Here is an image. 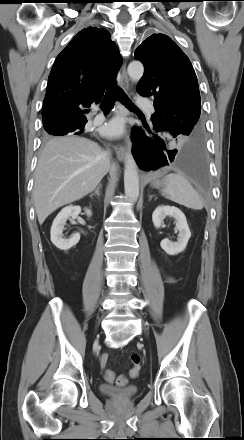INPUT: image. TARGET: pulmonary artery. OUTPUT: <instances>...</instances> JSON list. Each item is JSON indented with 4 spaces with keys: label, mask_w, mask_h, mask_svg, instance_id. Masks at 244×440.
Here are the masks:
<instances>
[{
    "label": "pulmonary artery",
    "mask_w": 244,
    "mask_h": 440,
    "mask_svg": "<svg viewBox=\"0 0 244 440\" xmlns=\"http://www.w3.org/2000/svg\"><path fill=\"white\" fill-rule=\"evenodd\" d=\"M137 104L140 107L144 108L148 112L149 115H151L154 112V107L147 98L139 97L137 100ZM103 119H104V116L102 114L95 116V122H101Z\"/></svg>",
    "instance_id": "1"
}]
</instances>
